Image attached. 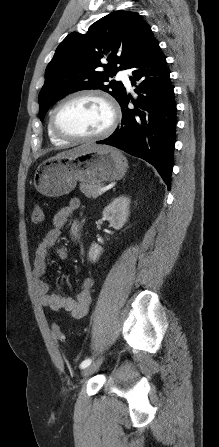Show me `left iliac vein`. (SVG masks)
Masks as SVG:
<instances>
[{
    "mask_svg": "<svg viewBox=\"0 0 219 447\" xmlns=\"http://www.w3.org/2000/svg\"><path fill=\"white\" fill-rule=\"evenodd\" d=\"M103 362V357L99 358L96 362H93L92 364L88 365L82 370V376L88 377L92 375L97 369L100 367V365Z\"/></svg>",
    "mask_w": 219,
    "mask_h": 447,
    "instance_id": "4c4485c4",
    "label": "left iliac vein"
}]
</instances>
